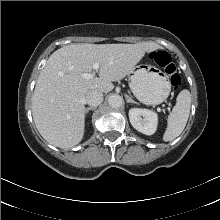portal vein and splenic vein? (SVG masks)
<instances>
[{
  "label": "portal vein and splenic vein",
  "instance_id": "1",
  "mask_svg": "<svg viewBox=\"0 0 220 220\" xmlns=\"http://www.w3.org/2000/svg\"><path fill=\"white\" fill-rule=\"evenodd\" d=\"M93 69H94V70H98V69H99V64H98V63H95V64L93 65ZM81 76H82L84 79H92V78H94L95 74H94V73H83ZM168 109H170V108H168Z\"/></svg>",
  "mask_w": 220,
  "mask_h": 220
}]
</instances>
